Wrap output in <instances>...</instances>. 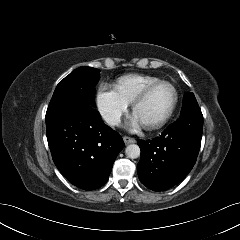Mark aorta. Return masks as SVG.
Returning a JSON list of instances; mask_svg holds the SVG:
<instances>
[{
    "label": "aorta",
    "instance_id": "aorta-1",
    "mask_svg": "<svg viewBox=\"0 0 240 240\" xmlns=\"http://www.w3.org/2000/svg\"><path fill=\"white\" fill-rule=\"evenodd\" d=\"M126 156L130 159H136L140 156V148L136 144H130L125 149Z\"/></svg>",
    "mask_w": 240,
    "mask_h": 240
}]
</instances>
